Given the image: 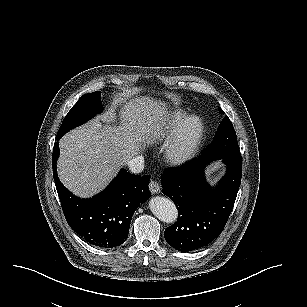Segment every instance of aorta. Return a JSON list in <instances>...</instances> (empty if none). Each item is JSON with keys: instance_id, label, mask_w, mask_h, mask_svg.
Instances as JSON below:
<instances>
[{"instance_id": "1", "label": "aorta", "mask_w": 307, "mask_h": 307, "mask_svg": "<svg viewBox=\"0 0 307 307\" xmlns=\"http://www.w3.org/2000/svg\"><path fill=\"white\" fill-rule=\"evenodd\" d=\"M149 209L155 217L165 223H174L178 217V210L172 200L156 196L150 199Z\"/></svg>"}]
</instances>
